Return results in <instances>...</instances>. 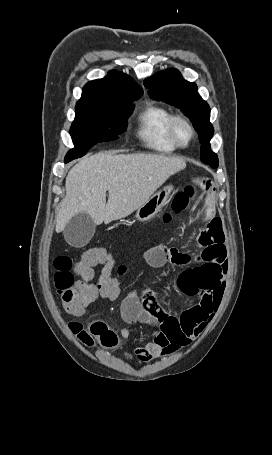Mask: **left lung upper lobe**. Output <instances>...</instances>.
<instances>
[{
  "mask_svg": "<svg viewBox=\"0 0 272 455\" xmlns=\"http://www.w3.org/2000/svg\"><path fill=\"white\" fill-rule=\"evenodd\" d=\"M144 85L149 89L150 97L180 108L190 118L199 135L201 161L217 168L218 157L210 147L214 134L210 123V108L198 94L196 84L184 80L177 69H168L145 79Z\"/></svg>",
  "mask_w": 272,
  "mask_h": 455,
  "instance_id": "left-lung-upper-lobe-1",
  "label": "left lung upper lobe"
}]
</instances>
